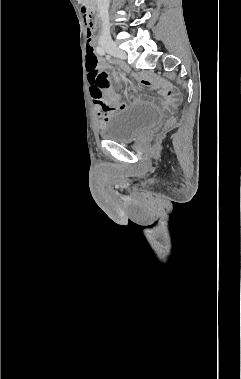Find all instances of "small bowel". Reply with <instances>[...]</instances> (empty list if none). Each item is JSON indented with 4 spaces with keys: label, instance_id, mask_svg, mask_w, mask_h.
<instances>
[{
    "label": "small bowel",
    "instance_id": "small-bowel-1",
    "mask_svg": "<svg viewBox=\"0 0 241 379\" xmlns=\"http://www.w3.org/2000/svg\"><path fill=\"white\" fill-rule=\"evenodd\" d=\"M90 31H91V34H93V28L92 27H90ZM102 73H104L107 76V74L104 71H102ZM107 79H108V76H107ZM114 79L117 83H120L119 77L115 76ZM139 82H140L141 86H143V87H149L152 85V82L146 78H140ZM109 86H110V83H109V79H108V85L105 88V89H107V101L112 102V103L117 102L119 98L111 89H109ZM155 87L164 92V96L166 99L165 104L167 107L173 108L179 103V99L172 92L171 88L168 85H165L162 83H156ZM91 92H92L93 100L95 103L97 115L103 121H106L109 117V109H107L102 104V102L95 96L93 89H91ZM124 108H125L124 104H120L117 106V109H124Z\"/></svg>",
    "mask_w": 241,
    "mask_h": 379
}]
</instances>
